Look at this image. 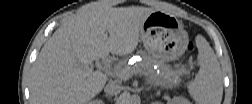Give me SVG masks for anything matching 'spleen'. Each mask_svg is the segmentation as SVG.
<instances>
[{
	"mask_svg": "<svg viewBox=\"0 0 252 104\" xmlns=\"http://www.w3.org/2000/svg\"><path fill=\"white\" fill-rule=\"evenodd\" d=\"M200 70L188 84V92L198 104H219L223 95L222 72L217 57L203 36L196 37Z\"/></svg>",
	"mask_w": 252,
	"mask_h": 104,
	"instance_id": "obj_1",
	"label": "spleen"
}]
</instances>
